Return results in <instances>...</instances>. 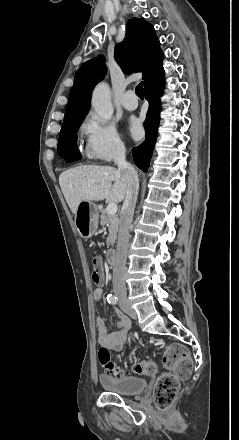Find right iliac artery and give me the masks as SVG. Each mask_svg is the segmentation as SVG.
I'll return each instance as SVG.
<instances>
[{
  "label": "right iliac artery",
  "mask_w": 239,
  "mask_h": 440,
  "mask_svg": "<svg viewBox=\"0 0 239 440\" xmlns=\"http://www.w3.org/2000/svg\"><path fill=\"white\" fill-rule=\"evenodd\" d=\"M107 301H108V303H110V304H117L118 299H117L116 296H114V295H112V294H109V295L107 296Z\"/></svg>",
  "instance_id": "82829eb1"
}]
</instances>
